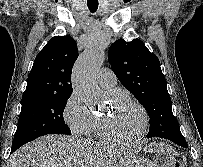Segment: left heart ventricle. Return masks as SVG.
I'll list each match as a JSON object with an SVG mask.
<instances>
[{
  "instance_id": "obj_1",
  "label": "left heart ventricle",
  "mask_w": 203,
  "mask_h": 167,
  "mask_svg": "<svg viewBox=\"0 0 203 167\" xmlns=\"http://www.w3.org/2000/svg\"><path fill=\"white\" fill-rule=\"evenodd\" d=\"M110 130L118 137L132 138L142 126V115L140 111L123 99L112 101L111 109L106 112Z\"/></svg>"
}]
</instances>
